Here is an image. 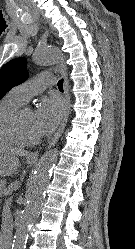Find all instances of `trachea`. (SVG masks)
Returning a JSON list of instances; mask_svg holds the SVG:
<instances>
[{
    "label": "trachea",
    "instance_id": "1",
    "mask_svg": "<svg viewBox=\"0 0 135 249\" xmlns=\"http://www.w3.org/2000/svg\"><path fill=\"white\" fill-rule=\"evenodd\" d=\"M58 88H59L60 91H63V79L59 80Z\"/></svg>",
    "mask_w": 135,
    "mask_h": 249
}]
</instances>
